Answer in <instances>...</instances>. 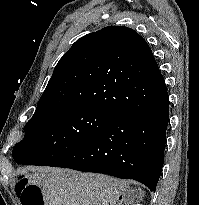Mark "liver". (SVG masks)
I'll return each mask as SVG.
<instances>
[{"instance_id":"obj_1","label":"liver","mask_w":199,"mask_h":205,"mask_svg":"<svg viewBox=\"0 0 199 205\" xmlns=\"http://www.w3.org/2000/svg\"><path fill=\"white\" fill-rule=\"evenodd\" d=\"M37 180L45 205H116L120 196L127 205L139 199L126 181L101 174L45 167Z\"/></svg>"}]
</instances>
